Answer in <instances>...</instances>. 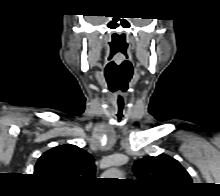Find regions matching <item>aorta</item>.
<instances>
[{"mask_svg":"<svg viewBox=\"0 0 220 196\" xmlns=\"http://www.w3.org/2000/svg\"><path fill=\"white\" fill-rule=\"evenodd\" d=\"M105 176H108L110 178H119L121 177V172L118 169H111L105 173Z\"/></svg>","mask_w":220,"mask_h":196,"instance_id":"aorta-1","label":"aorta"}]
</instances>
